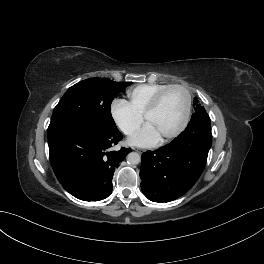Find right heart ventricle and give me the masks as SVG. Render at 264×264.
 Segmentation results:
<instances>
[{"mask_svg":"<svg viewBox=\"0 0 264 264\" xmlns=\"http://www.w3.org/2000/svg\"><path fill=\"white\" fill-rule=\"evenodd\" d=\"M169 84H141L127 91L128 103L141 116L155 95Z\"/></svg>","mask_w":264,"mask_h":264,"instance_id":"e07e8e85","label":"right heart ventricle"}]
</instances>
